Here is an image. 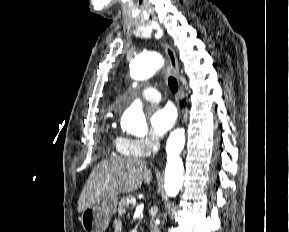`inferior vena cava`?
I'll return each mask as SVG.
<instances>
[{
	"label": "inferior vena cava",
	"mask_w": 289,
	"mask_h": 232,
	"mask_svg": "<svg viewBox=\"0 0 289 232\" xmlns=\"http://www.w3.org/2000/svg\"><path fill=\"white\" fill-rule=\"evenodd\" d=\"M159 147V140L157 137H153V150L156 151ZM150 232H160L158 225L155 221L150 223Z\"/></svg>",
	"instance_id": "602c4592"
}]
</instances>
